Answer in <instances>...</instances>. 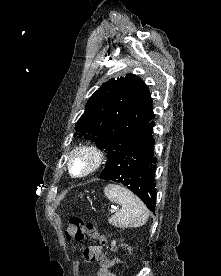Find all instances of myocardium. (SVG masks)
Listing matches in <instances>:
<instances>
[{
    "label": "myocardium",
    "instance_id": "myocardium-1",
    "mask_svg": "<svg viewBox=\"0 0 221 276\" xmlns=\"http://www.w3.org/2000/svg\"><path fill=\"white\" fill-rule=\"evenodd\" d=\"M78 157H83L87 166L84 171L76 172L74 170V161ZM103 163V154L100 149L94 145L83 144L76 146L71 150L68 156L67 167L70 174L76 178H85L94 174Z\"/></svg>",
    "mask_w": 221,
    "mask_h": 276
}]
</instances>
